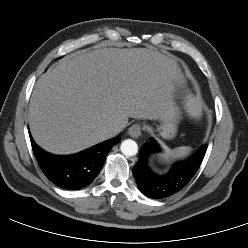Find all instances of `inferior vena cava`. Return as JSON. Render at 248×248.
<instances>
[{
	"mask_svg": "<svg viewBox=\"0 0 248 248\" xmlns=\"http://www.w3.org/2000/svg\"><path fill=\"white\" fill-rule=\"evenodd\" d=\"M120 131H121L120 127H119V126H116V127L109 128V129L107 130V133L109 134L110 137H114V136L117 135Z\"/></svg>",
	"mask_w": 248,
	"mask_h": 248,
	"instance_id": "602c4592",
	"label": "inferior vena cava"
}]
</instances>
